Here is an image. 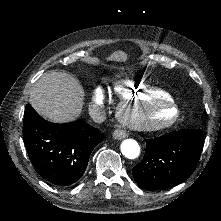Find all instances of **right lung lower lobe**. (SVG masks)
<instances>
[{"mask_svg": "<svg viewBox=\"0 0 221 221\" xmlns=\"http://www.w3.org/2000/svg\"><path fill=\"white\" fill-rule=\"evenodd\" d=\"M23 139L36 172L52 184L68 186L84 174L102 134L82 121L51 123L27 104Z\"/></svg>", "mask_w": 221, "mask_h": 221, "instance_id": "1", "label": "right lung lower lobe"}]
</instances>
